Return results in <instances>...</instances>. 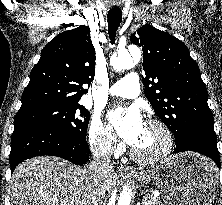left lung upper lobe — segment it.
Masks as SVG:
<instances>
[{
	"label": "left lung upper lobe",
	"instance_id": "5c2ea615",
	"mask_svg": "<svg viewBox=\"0 0 222 205\" xmlns=\"http://www.w3.org/2000/svg\"><path fill=\"white\" fill-rule=\"evenodd\" d=\"M130 41L143 49L145 95L175 141L194 131L216 136L207 89L187 46L149 24Z\"/></svg>",
	"mask_w": 222,
	"mask_h": 205
}]
</instances>
